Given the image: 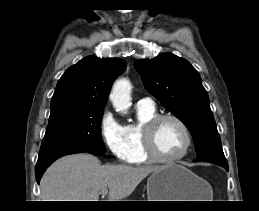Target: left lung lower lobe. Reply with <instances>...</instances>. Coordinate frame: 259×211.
<instances>
[{
  "mask_svg": "<svg viewBox=\"0 0 259 211\" xmlns=\"http://www.w3.org/2000/svg\"><path fill=\"white\" fill-rule=\"evenodd\" d=\"M222 167H224L226 170H228V164H227V165H224V166H222Z\"/></svg>",
  "mask_w": 259,
  "mask_h": 211,
  "instance_id": "1",
  "label": "left lung lower lobe"
}]
</instances>
